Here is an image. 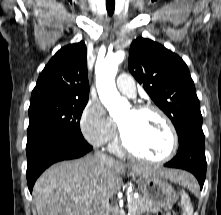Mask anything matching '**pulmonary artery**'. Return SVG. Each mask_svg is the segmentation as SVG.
I'll use <instances>...</instances> for the list:
<instances>
[{
    "mask_svg": "<svg viewBox=\"0 0 221 215\" xmlns=\"http://www.w3.org/2000/svg\"><path fill=\"white\" fill-rule=\"evenodd\" d=\"M118 90L128 96L134 97L136 95V87L132 77L129 74L122 73L118 76L117 81Z\"/></svg>",
    "mask_w": 221,
    "mask_h": 215,
    "instance_id": "pulmonary-artery-1",
    "label": "pulmonary artery"
}]
</instances>
